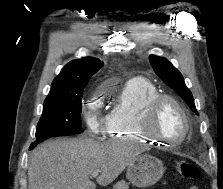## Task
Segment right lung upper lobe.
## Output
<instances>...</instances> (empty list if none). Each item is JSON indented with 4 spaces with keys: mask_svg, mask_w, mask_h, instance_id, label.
I'll return each mask as SVG.
<instances>
[{
    "mask_svg": "<svg viewBox=\"0 0 223 189\" xmlns=\"http://www.w3.org/2000/svg\"><path fill=\"white\" fill-rule=\"evenodd\" d=\"M103 65L100 60L91 57L70 61L53 80L49 95H69L83 90Z\"/></svg>",
    "mask_w": 223,
    "mask_h": 189,
    "instance_id": "1",
    "label": "right lung upper lobe"
}]
</instances>
